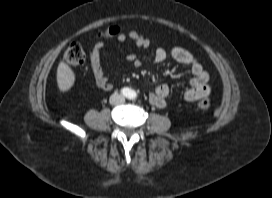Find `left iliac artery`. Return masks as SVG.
<instances>
[{"instance_id":"44dca946","label":"left iliac artery","mask_w":272,"mask_h":198,"mask_svg":"<svg viewBox=\"0 0 272 198\" xmlns=\"http://www.w3.org/2000/svg\"><path fill=\"white\" fill-rule=\"evenodd\" d=\"M135 93L134 92H131V94H130V98H134L135 97Z\"/></svg>"}]
</instances>
